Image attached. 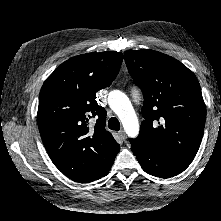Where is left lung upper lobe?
<instances>
[{
	"label": "left lung upper lobe",
	"instance_id": "obj_1",
	"mask_svg": "<svg viewBox=\"0 0 221 221\" xmlns=\"http://www.w3.org/2000/svg\"><path fill=\"white\" fill-rule=\"evenodd\" d=\"M124 57L144 96V121L139 136L130 143L192 162L206 120L197 78L178 60L154 50L125 51Z\"/></svg>",
	"mask_w": 221,
	"mask_h": 221
}]
</instances>
